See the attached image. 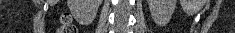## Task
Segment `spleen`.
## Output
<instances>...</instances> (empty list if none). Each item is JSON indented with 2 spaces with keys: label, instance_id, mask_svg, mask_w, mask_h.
I'll return each instance as SVG.
<instances>
[{
  "label": "spleen",
  "instance_id": "spleen-1",
  "mask_svg": "<svg viewBox=\"0 0 235 33\" xmlns=\"http://www.w3.org/2000/svg\"><path fill=\"white\" fill-rule=\"evenodd\" d=\"M184 6H185V5H184ZM185 7H186V6H185ZM186 9H187V11H189V12H194V11H195V8L192 9V8L186 7Z\"/></svg>",
  "mask_w": 235,
  "mask_h": 33
}]
</instances>
